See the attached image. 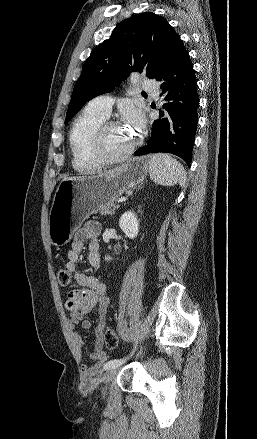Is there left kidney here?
<instances>
[{
	"label": "left kidney",
	"instance_id": "5707ae66",
	"mask_svg": "<svg viewBox=\"0 0 257 439\" xmlns=\"http://www.w3.org/2000/svg\"><path fill=\"white\" fill-rule=\"evenodd\" d=\"M119 227L128 238L130 239L136 238L139 232V222L137 220L135 213L131 211L125 212L120 217ZM111 259L112 258L110 256H105V260L109 261Z\"/></svg>",
	"mask_w": 257,
	"mask_h": 439
}]
</instances>
